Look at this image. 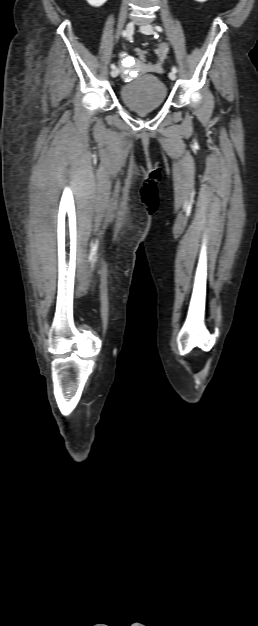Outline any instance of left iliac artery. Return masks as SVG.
<instances>
[{"instance_id":"obj_1","label":"left iliac artery","mask_w":258,"mask_h":626,"mask_svg":"<svg viewBox=\"0 0 258 626\" xmlns=\"http://www.w3.org/2000/svg\"><path fill=\"white\" fill-rule=\"evenodd\" d=\"M154 28H155V30H157V31H159V32H162V31H163V29H162V27H161V26H158V25H157V26H155ZM172 71H173L174 73H177V68H176L175 66H173V67H172Z\"/></svg>"}]
</instances>
